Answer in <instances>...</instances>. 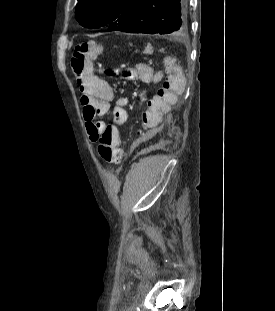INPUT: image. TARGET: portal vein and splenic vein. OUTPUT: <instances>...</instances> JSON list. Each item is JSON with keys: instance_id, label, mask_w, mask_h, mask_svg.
<instances>
[{"instance_id": "obj_1", "label": "portal vein and splenic vein", "mask_w": 275, "mask_h": 311, "mask_svg": "<svg viewBox=\"0 0 275 311\" xmlns=\"http://www.w3.org/2000/svg\"><path fill=\"white\" fill-rule=\"evenodd\" d=\"M152 51H148L147 53H151Z\"/></svg>"}]
</instances>
